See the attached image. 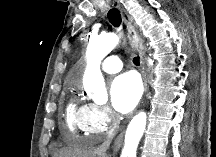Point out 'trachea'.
I'll use <instances>...</instances> for the list:
<instances>
[{
  "label": "trachea",
  "mask_w": 216,
  "mask_h": 157,
  "mask_svg": "<svg viewBox=\"0 0 216 157\" xmlns=\"http://www.w3.org/2000/svg\"><path fill=\"white\" fill-rule=\"evenodd\" d=\"M107 17H108L110 23L114 27H116V28L120 27L121 22H122V18H121L120 11L117 8L110 9L109 12H108ZM133 63L135 65H139L140 64L139 57L133 58Z\"/></svg>",
  "instance_id": "3493384b"
}]
</instances>
